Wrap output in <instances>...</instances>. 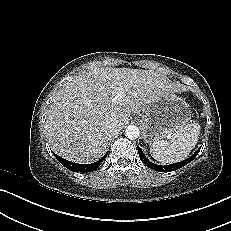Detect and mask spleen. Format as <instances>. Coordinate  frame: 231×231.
<instances>
[{
	"instance_id": "3e777b00",
	"label": "spleen",
	"mask_w": 231,
	"mask_h": 231,
	"mask_svg": "<svg viewBox=\"0 0 231 231\" xmlns=\"http://www.w3.org/2000/svg\"><path fill=\"white\" fill-rule=\"evenodd\" d=\"M200 133L198 123H188L167 136L150 144L152 157L161 163L180 162L188 157L197 144Z\"/></svg>"
}]
</instances>
